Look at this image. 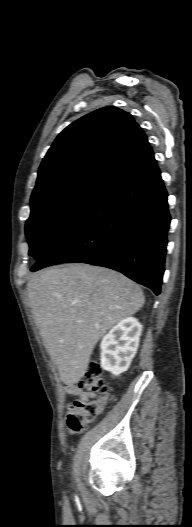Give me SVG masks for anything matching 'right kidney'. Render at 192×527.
I'll return each instance as SVG.
<instances>
[{"instance_id": "ca27d5eb", "label": "right kidney", "mask_w": 192, "mask_h": 527, "mask_svg": "<svg viewBox=\"0 0 192 527\" xmlns=\"http://www.w3.org/2000/svg\"><path fill=\"white\" fill-rule=\"evenodd\" d=\"M141 332L142 325L133 317L115 325L101 341V367L115 376L125 372L137 352Z\"/></svg>"}]
</instances>
